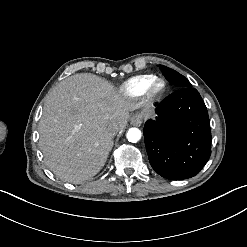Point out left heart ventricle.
Instances as JSON below:
<instances>
[{"label": "left heart ventricle", "instance_id": "b2bd125f", "mask_svg": "<svg viewBox=\"0 0 247 247\" xmlns=\"http://www.w3.org/2000/svg\"><path fill=\"white\" fill-rule=\"evenodd\" d=\"M160 88H161V85H160V84H158V85H157V89H160Z\"/></svg>", "mask_w": 247, "mask_h": 247}]
</instances>
